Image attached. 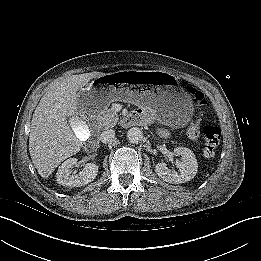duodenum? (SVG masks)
Segmentation results:
<instances>
[{
    "label": "duodenum",
    "instance_id": "1",
    "mask_svg": "<svg viewBox=\"0 0 261 261\" xmlns=\"http://www.w3.org/2000/svg\"><path fill=\"white\" fill-rule=\"evenodd\" d=\"M129 122H130V118L127 119V123H129ZM91 124H92L94 130L97 132V131H98V128H99V121L97 120V118H93V119L91 120ZM97 145H98L97 140H96L95 138H92V139H90V140L88 141V143H87V148H88V149H93V148H95Z\"/></svg>",
    "mask_w": 261,
    "mask_h": 261
}]
</instances>
